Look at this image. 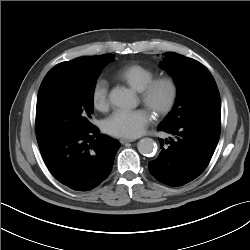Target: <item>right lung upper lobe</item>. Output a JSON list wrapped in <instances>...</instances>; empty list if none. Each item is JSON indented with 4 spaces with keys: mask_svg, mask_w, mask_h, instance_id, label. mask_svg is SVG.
<instances>
[{
    "mask_svg": "<svg viewBox=\"0 0 250 250\" xmlns=\"http://www.w3.org/2000/svg\"><path fill=\"white\" fill-rule=\"evenodd\" d=\"M107 54L98 56H86L73 59L71 61L62 62L54 66L45 76L39 91L45 89L48 85L56 79L70 74L81 73L87 71L94 66L99 60L104 58Z\"/></svg>",
    "mask_w": 250,
    "mask_h": 250,
    "instance_id": "1",
    "label": "right lung upper lobe"
}]
</instances>
